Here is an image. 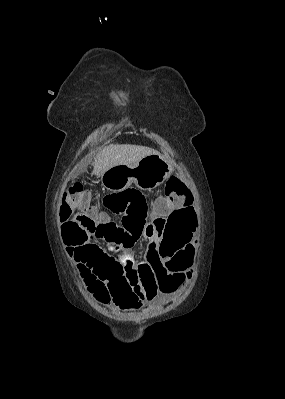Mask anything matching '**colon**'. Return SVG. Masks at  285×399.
<instances>
[{
    "label": "colon",
    "mask_w": 285,
    "mask_h": 399,
    "mask_svg": "<svg viewBox=\"0 0 285 399\" xmlns=\"http://www.w3.org/2000/svg\"><path fill=\"white\" fill-rule=\"evenodd\" d=\"M188 189L185 182L177 179H169L165 183L164 195L157 198L159 208H173L167 221L158 224V232L165 236V240L148 260L136 263V279L118 283L114 275L103 270L106 253L94 243L106 244L112 251L121 252L129 263L132 262V250L148 224L147 203L134 191L127 190L105 195L99 206L81 182L70 185L63 193L59 215L63 222L64 241L76 246V253L83 262L76 267L83 289L90 294L97 291L104 300L108 290L118 303L130 307L135 306L140 298L156 296L161 278L185 270L189 265L183 251L186 240L184 237L171 240L168 231L173 225L183 224L192 217L190 207L178 202V198ZM104 210L120 214V221H108Z\"/></svg>",
    "instance_id": "5ec220e1"
}]
</instances>
